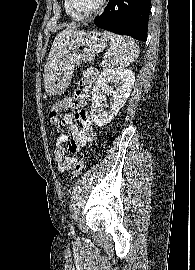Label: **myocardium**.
<instances>
[{
  "mask_svg": "<svg viewBox=\"0 0 195 270\" xmlns=\"http://www.w3.org/2000/svg\"><path fill=\"white\" fill-rule=\"evenodd\" d=\"M66 1H67V6H68L70 12L72 14H74L76 17H78L79 19L84 20V19L91 18V17L95 16L96 14H98L103 9V7L105 6V4L107 3L108 0H100L99 4L92 11L85 13V14H80L74 9L73 4H72V0H66Z\"/></svg>",
  "mask_w": 195,
  "mask_h": 270,
  "instance_id": "f54148a6",
  "label": "myocardium"
}]
</instances>
